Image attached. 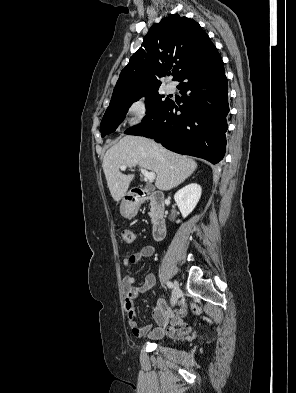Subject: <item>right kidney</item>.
<instances>
[{"label": "right kidney", "instance_id": "right-kidney-1", "mask_svg": "<svg viewBox=\"0 0 296 393\" xmlns=\"http://www.w3.org/2000/svg\"><path fill=\"white\" fill-rule=\"evenodd\" d=\"M202 193V188L197 183H191L179 191L174 196V200L183 216L186 218L196 207ZM180 220L177 221L179 223Z\"/></svg>", "mask_w": 296, "mask_h": 393}]
</instances>
